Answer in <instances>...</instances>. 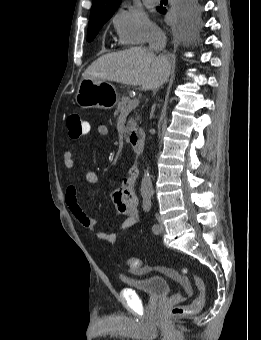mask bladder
<instances>
[{
	"mask_svg": "<svg viewBox=\"0 0 261 340\" xmlns=\"http://www.w3.org/2000/svg\"><path fill=\"white\" fill-rule=\"evenodd\" d=\"M120 281L127 287L154 298L167 297L171 289L169 280L160 275H152L144 278L120 276Z\"/></svg>",
	"mask_w": 261,
	"mask_h": 340,
	"instance_id": "31cf9c89",
	"label": "bladder"
}]
</instances>
